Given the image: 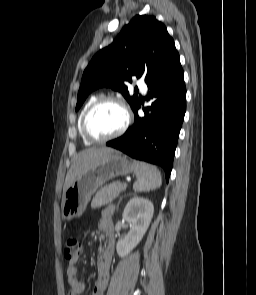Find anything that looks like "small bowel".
<instances>
[{"label": "small bowel", "mask_w": 256, "mask_h": 295, "mask_svg": "<svg viewBox=\"0 0 256 295\" xmlns=\"http://www.w3.org/2000/svg\"><path fill=\"white\" fill-rule=\"evenodd\" d=\"M112 213V208L105 209L99 222V228L105 233L107 242L98 258V277L93 287L92 295H103L110 278V267L115 244ZM77 262L78 257L70 260L67 266V281L70 288L69 295H82L86 289L85 283L78 276Z\"/></svg>", "instance_id": "obj_1"}]
</instances>
